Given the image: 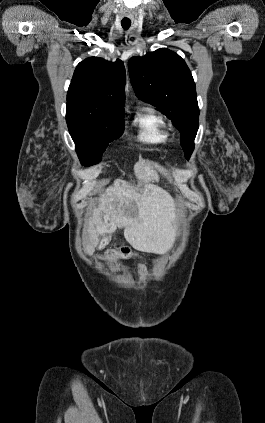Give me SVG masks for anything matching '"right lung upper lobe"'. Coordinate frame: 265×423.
Here are the masks:
<instances>
[{"label": "right lung upper lobe", "mask_w": 265, "mask_h": 423, "mask_svg": "<svg viewBox=\"0 0 265 423\" xmlns=\"http://www.w3.org/2000/svg\"><path fill=\"white\" fill-rule=\"evenodd\" d=\"M125 67L121 60L99 57L80 62L67 93V108H83L117 116L124 115Z\"/></svg>", "instance_id": "obj_1"}]
</instances>
